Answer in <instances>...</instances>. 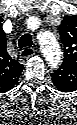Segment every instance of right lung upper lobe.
I'll return each instance as SVG.
<instances>
[{
	"label": "right lung upper lobe",
	"mask_w": 77,
	"mask_h": 125,
	"mask_svg": "<svg viewBox=\"0 0 77 125\" xmlns=\"http://www.w3.org/2000/svg\"><path fill=\"white\" fill-rule=\"evenodd\" d=\"M0 56L1 90L6 92L12 89L17 82L23 70V65L9 56L6 50V39L3 31L0 34Z\"/></svg>",
	"instance_id": "right-lung-upper-lobe-1"
}]
</instances>
